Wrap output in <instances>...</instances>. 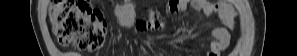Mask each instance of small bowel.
Segmentation results:
<instances>
[{
    "instance_id": "1",
    "label": "small bowel",
    "mask_w": 297,
    "mask_h": 56,
    "mask_svg": "<svg viewBox=\"0 0 297 56\" xmlns=\"http://www.w3.org/2000/svg\"><path fill=\"white\" fill-rule=\"evenodd\" d=\"M188 2L193 8L201 11L206 18H209L213 13H217L219 25L214 29V39L210 42V50L208 56H218L224 51L230 43V33L227 27L233 28L235 24V13L230 6L225 4L211 3L207 0H170L168 3L171 12L184 11ZM114 14L119 23L126 28H130L135 22V8L130 0H125L116 5ZM163 23L158 20L156 15L150 12L145 18L139 20L136 24L138 31L161 29Z\"/></svg>"
}]
</instances>
